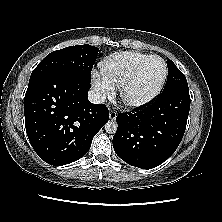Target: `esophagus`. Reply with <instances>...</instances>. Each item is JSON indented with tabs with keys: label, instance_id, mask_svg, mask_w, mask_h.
<instances>
[{
	"label": "esophagus",
	"instance_id": "1",
	"mask_svg": "<svg viewBox=\"0 0 222 222\" xmlns=\"http://www.w3.org/2000/svg\"><path fill=\"white\" fill-rule=\"evenodd\" d=\"M116 117H117V112H116L115 110H110V111H109V118H110L111 120H115Z\"/></svg>",
	"mask_w": 222,
	"mask_h": 222
}]
</instances>
